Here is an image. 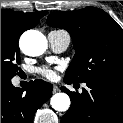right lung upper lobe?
<instances>
[{"label": "right lung upper lobe", "instance_id": "right-lung-upper-lobe-1", "mask_svg": "<svg viewBox=\"0 0 123 123\" xmlns=\"http://www.w3.org/2000/svg\"><path fill=\"white\" fill-rule=\"evenodd\" d=\"M47 12L23 13L8 9L1 10V19H7L14 22L22 34L24 31L35 27L39 19L46 15Z\"/></svg>", "mask_w": 123, "mask_h": 123}]
</instances>
